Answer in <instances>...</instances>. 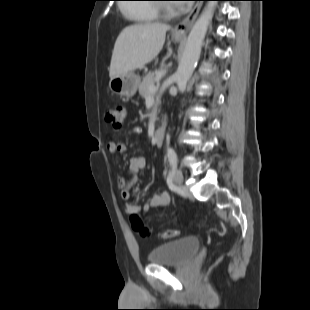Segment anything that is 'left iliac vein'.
<instances>
[{
    "mask_svg": "<svg viewBox=\"0 0 310 310\" xmlns=\"http://www.w3.org/2000/svg\"><path fill=\"white\" fill-rule=\"evenodd\" d=\"M174 181H175L176 185L179 186V187L183 183V174H182V171L179 168H176L174 170Z\"/></svg>",
    "mask_w": 310,
    "mask_h": 310,
    "instance_id": "4c4485c4",
    "label": "left iliac vein"
}]
</instances>
